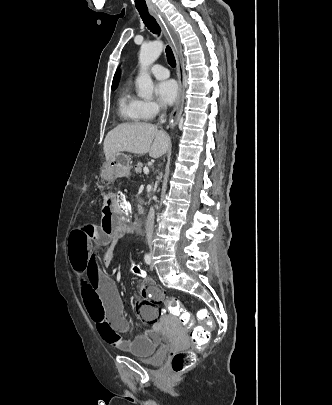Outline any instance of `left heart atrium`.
Here are the masks:
<instances>
[{
    "label": "left heart atrium",
    "mask_w": 332,
    "mask_h": 405,
    "mask_svg": "<svg viewBox=\"0 0 332 405\" xmlns=\"http://www.w3.org/2000/svg\"><path fill=\"white\" fill-rule=\"evenodd\" d=\"M158 99L165 105L173 104L179 95V87L175 80L161 81L156 86Z\"/></svg>",
    "instance_id": "39dd6f15"
}]
</instances>
